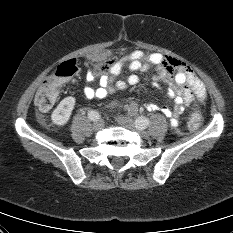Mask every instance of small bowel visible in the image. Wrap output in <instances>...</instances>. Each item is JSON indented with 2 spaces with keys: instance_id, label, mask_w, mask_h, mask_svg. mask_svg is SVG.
Returning <instances> with one entry per match:
<instances>
[{
  "instance_id": "1",
  "label": "small bowel",
  "mask_w": 233,
  "mask_h": 233,
  "mask_svg": "<svg viewBox=\"0 0 233 233\" xmlns=\"http://www.w3.org/2000/svg\"><path fill=\"white\" fill-rule=\"evenodd\" d=\"M125 63H128L132 71H145L150 67H154L157 74L155 79L163 82L168 86L167 95L171 98L175 106L159 107L156 104H146L148 111L161 112L171 118L172 127L177 126L179 115L188 108H191L196 100L203 102L206 98V88L203 82L196 76L195 72L186 63L161 54H147L142 50H135L129 53L124 58L112 64L108 74H104L99 78V85L93 87L88 85L84 89V96L87 99H100L117 90H123L129 85H135L139 82V77L135 74L129 75L125 80H117L114 82V77L118 76ZM95 73L89 72L87 81L90 83L94 80ZM136 105L132 109H137Z\"/></svg>"
}]
</instances>
